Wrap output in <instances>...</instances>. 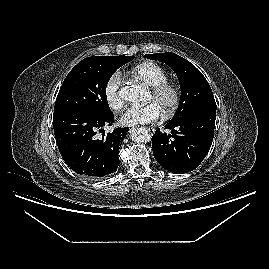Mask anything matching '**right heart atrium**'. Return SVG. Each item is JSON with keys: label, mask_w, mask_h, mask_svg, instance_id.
I'll use <instances>...</instances> for the list:
<instances>
[{"label": "right heart atrium", "mask_w": 269, "mask_h": 269, "mask_svg": "<svg viewBox=\"0 0 269 269\" xmlns=\"http://www.w3.org/2000/svg\"><path fill=\"white\" fill-rule=\"evenodd\" d=\"M122 84V75L119 71L113 72L105 82L104 98L108 107L117 112L123 107V100L120 97V86Z\"/></svg>", "instance_id": "obj_1"}]
</instances>
